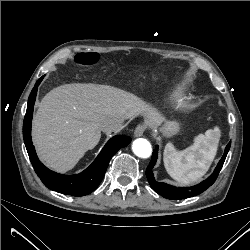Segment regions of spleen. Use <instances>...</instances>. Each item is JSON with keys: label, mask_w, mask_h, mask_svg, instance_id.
Returning a JSON list of instances; mask_svg holds the SVG:
<instances>
[{"label": "spleen", "mask_w": 250, "mask_h": 250, "mask_svg": "<svg viewBox=\"0 0 250 250\" xmlns=\"http://www.w3.org/2000/svg\"><path fill=\"white\" fill-rule=\"evenodd\" d=\"M219 129L206 131L194 139L193 145L178 151L172 143L164 149V165L168 174L182 184L199 180L211 166L217 152Z\"/></svg>", "instance_id": "obj_1"}]
</instances>
